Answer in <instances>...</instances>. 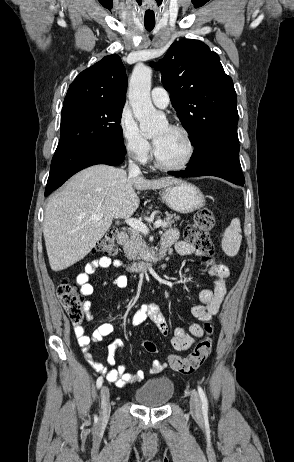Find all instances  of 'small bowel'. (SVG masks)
Instances as JSON below:
<instances>
[{
    "label": "small bowel",
    "mask_w": 294,
    "mask_h": 462,
    "mask_svg": "<svg viewBox=\"0 0 294 462\" xmlns=\"http://www.w3.org/2000/svg\"><path fill=\"white\" fill-rule=\"evenodd\" d=\"M178 236V231L172 228L165 233L162 243L168 245V248L174 246L176 252L182 256L199 255L191 244L178 240ZM207 265L209 266V274L214 280V288L201 290L198 293V304L194 305L192 308L193 316L202 322L210 321L211 318L218 312L227 292V281L230 275L229 269L222 262L212 261ZM108 267H123V263L118 259L101 257L94 259L85 265L83 271L76 278V283L82 296H91L94 292L93 285L90 283V276L98 269ZM114 284L118 287H125L127 285V278L125 276H119L114 280ZM84 306L87 320L92 321L93 315L90 312L91 302L86 301ZM146 320H150L163 335H169L168 322L158 303L150 302L142 304L133 314L131 318V325L139 326ZM113 330L114 327L110 322H103L93 331L91 336H88L85 333L83 326H76L74 328V333L87 362L97 372L103 374L108 381L114 383L118 387H123L142 380L144 376L142 371L128 373L124 364L116 366V351L117 349L124 348L123 341L117 339L108 346L107 363L112 367L111 369H107L98 362L94 358L90 349L92 342L102 341L105 337L110 335ZM202 335L203 328L198 323H191L186 328L176 327L173 335L171 336V344L176 351H185L189 349L194 344L195 340L200 338ZM165 367V363L155 360L151 364L149 374H159Z\"/></svg>",
    "instance_id": "obj_1"
}]
</instances>
